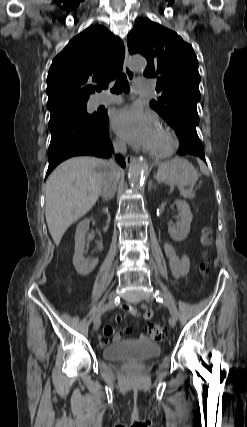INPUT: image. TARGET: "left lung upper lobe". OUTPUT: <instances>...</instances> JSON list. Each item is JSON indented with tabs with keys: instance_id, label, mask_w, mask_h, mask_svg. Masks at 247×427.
Returning <instances> with one entry per match:
<instances>
[{
	"instance_id": "obj_1",
	"label": "left lung upper lobe",
	"mask_w": 247,
	"mask_h": 427,
	"mask_svg": "<svg viewBox=\"0 0 247 427\" xmlns=\"http://www.w3.org/2000/svg\"><path fill=\"white\" fill-rule=\"evenodd\" d=\"M127 44L130 54L139 53L147 59L144 76L157 78L160 96L150 106L172 127L181 122L197 126L200 75L193 48L175 32L149 19L135 24Z\"/></svg>"
}]
</instances>
